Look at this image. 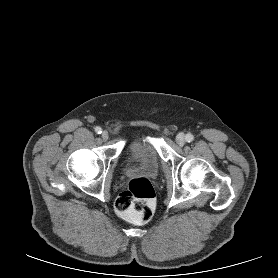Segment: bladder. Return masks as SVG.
I'll use <instances>...</instances> for the list:
<instances>
[{
	"label": "bladder",
	"instance_id": "31cf9c89",
	"mask_svg": "<svg viewBox=\"0 0 278 278\" xmlns=\"http://www.w3.org/2000/svg\"><path fill=\"white\" fill-rule=\"evenodd\" d=\"M160 166V157L154 140L139 136L128 143L125 149V170L129 174L143 173L153 176Z\"/></svg>",
	"mask_w": 278,
	"mask_h": 278
}]
</instances>
